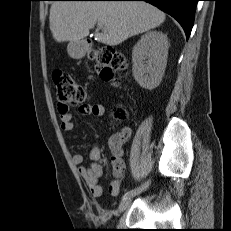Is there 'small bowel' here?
I'll return each mask as SVG.
<instances>
[{
  "label": "small bowel",
  "instance_id": "c3829d8e",
  "mask_svg": "<svg viewBox=\"0 0 231 231\" xmlns=\"http://www.w3.org/2000/svg\"><path fill=\"white\" fill-rule=\"evenodd\" d=\"M79 113L82 116L100 117L104 114V107L101 104H83L79 107ZM60 128L64 132H71L74 128L73 116L69 111L60 113ZM131 130L123 129L120 133L110 138L109 145L111 149V164L113 179L109 183V193L112 196H118L121 188V178L125 171L123 161V144L129 139ZM89 166L82 165L83 156L79 153L73 154L72 162L78 166V172L85 181L91 195L95 198L100 197L103 188L99 184V179L104 175V158L97 146H92L89 151Z\"/></svg>",
  "mask_w": 231,
  "mask_h": 231
}]
</instances>
